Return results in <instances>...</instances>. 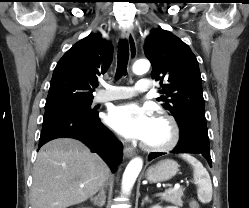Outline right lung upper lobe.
I'll return each mask as SVG.
<instances>
[{"label":"right lung upper lobe","instance_id":"cb5924a9","mask_svg":"<svg viewBox=\"0 0 249 208\" xmlns=\"http://www.w3.org/2000/svg\"><path fill=\"white\" fill-rule=\"evenodd\" d=\"M112 55V45L99 34L74 44L54 69L45 108L93 100L97 77L108 70Z\"/></svg>","mask_w":249,"mask_h":208}]
</instances>
